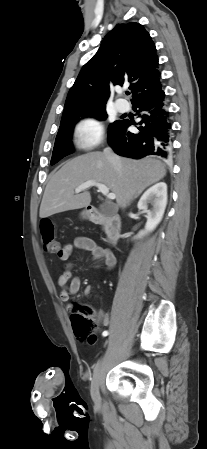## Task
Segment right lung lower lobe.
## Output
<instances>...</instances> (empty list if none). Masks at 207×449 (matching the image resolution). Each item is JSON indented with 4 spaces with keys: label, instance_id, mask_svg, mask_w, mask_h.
<instances>
[{
    "label": "right lung lower lobe",
    "instance_id": "obj_1",
    "mask_svg": "<svg viewBox=\"0 0 207 449\" xmlns=\"http://www.w3.org/2000/svg\"><path fill=\"white\" fill-rule=\"evenodd\" d=\"M133 109L142 120L139 132L127 131L128 120H121L108 135V143L115 153L131 158L157 155L167 158L171 149V123L166 110L165 93L158 92L140 97L132 102Z\"/></svg>",
    "mask_w": 207,
    "mask_h": 449
}]
</instances>
